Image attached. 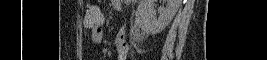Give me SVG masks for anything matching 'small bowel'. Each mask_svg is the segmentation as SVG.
<instances>
[{
  "mask_svg": "<svg viewBox=\"0 0 267 60\" xmlns=\"http://www.w3.org/2000/svg\"><path fill=\"white\" fill-rule=\"evenodd\" d=\"M123 1L114 0L113 6L117 9L121 8ZM90 40L93 45L101 44L103 40V31L101 28L91 31ZM116 46V60H127L128 56V44L126 39V29L121 27L115 37Z\"/></svg>",
  "mask_w": 267,
  "mask_h": 60,
  "instance_id": "small-bowel-1",
  "label": "small bowel"
}]
</instances>
